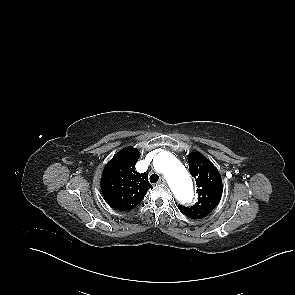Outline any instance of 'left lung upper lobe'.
<instances>
[{"instance_id": "5c2ea615", "label": "left lung upper lobe", "mask_w": 295, "mask_h": 295, "mask_svg": "<svg viewBox=\"0 0 295 295\" xmlns=\"http://www.w3.org/2000/svg\"><path fill=\"white\" fill-rule=\"evenodd\" d=\"M189 170L197 184L198 201L191 207L178 205V209L189 218H203L220 202L223 185L217 168L199 153L188 156Z\"/></svg>"}]
</instances>
